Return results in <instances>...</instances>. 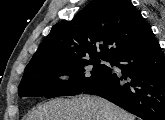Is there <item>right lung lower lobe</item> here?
Listing matches in <instances>:
<instances>
[{"label":"right lung lower lobe","mask_w":165,"mask_h":120,"mask_svg":"<svg viewBox=\"0 0 165 120\" xmlns=\"http://www.w3.org/2000/svg\"><path fill=\"white\" fill-rule=\"evenodd\" d=\"M121 73H110L82 93L101 96L143 120H165V56L150 37L112 61Z\"/></svg>","instance_id":"obj_1"}]
</instances>
